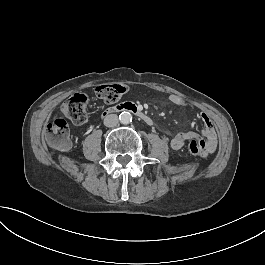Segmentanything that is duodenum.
<instances>
[{
  "label": "duodenum",
  "mask_w": 265,
  "mask_h": 265,
  "mask_svg": "<svg viewBox=\"0 0 265 265\" xmlns=\"http://www.w3.org/2000/svg\"><path fill=\"white\" fill-rule=\"evenodd\" d=\"M123 111H130L133 114H135L137 117H139L142 121H144L147 125L152 126L154 124L152 117L144 112L142 109H140L137 105L133 104V103H120L117 104L109 109H107L104 113H103V118H106L108 116H110L111 114H115V113H121Z\"/></svg>",
  "instance_id": "410a0bca"
}]
</instances>
